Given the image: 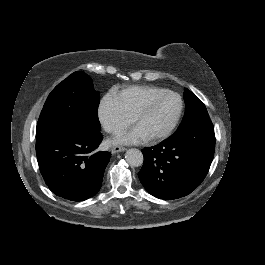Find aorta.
<instances>
[{"instance_id":"1","label":"aorta","mask_w":265,"mask_h":265,"mask_svg":"<svg viewBox=\"0 0 265 265\" xmlns=\"http://www.w3.org/2000/svg\"><path fill=\"white\" fill-rule=\"evenodd\" d=\"M125 160L131 166H140L143 163L142 152L137 148H129L125 153Z\"/></svg>"}]
</instances>
